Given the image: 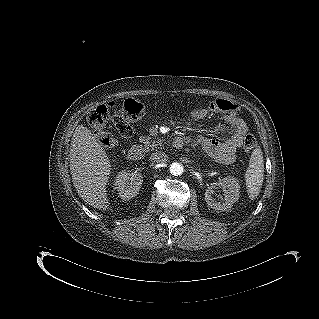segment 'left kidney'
I'll return each mask as SVG.
<instances>
[{
    "instance_id": "obj_1",
    "label": "left kidney",
    "mask_w": 319,
    "mask_h": 319,
    "mask_svg": "<svg viewBox=\"0 0 319 319\" xmlns=\"http://www.w3.org/2000/svg\"><path fill=\"white\" fill-rule=\"evenodd\" d=\"M239 189L240 185L234 178L226 177L220 182L210 184L205 192V201L214 210L228 211L239 198ZM221 191L224 193V198L216 193Z\"/></svg>"
}]
</instances>
